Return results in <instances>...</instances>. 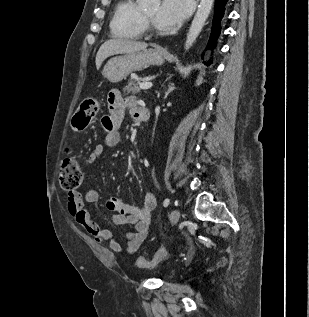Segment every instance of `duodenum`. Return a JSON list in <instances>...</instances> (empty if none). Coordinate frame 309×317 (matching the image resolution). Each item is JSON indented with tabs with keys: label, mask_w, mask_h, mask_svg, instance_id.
I'll return each instance as SVG.
<instances>
[{
	"label": "duodenum",
	"mask_w": 309,
	"mask_h": 317,
	"mask_svg": "<svg viewBox=\"0 0 309 317\" xmlns=\"http://www.w3.org/2000/svg\"><path fill=\"white\" fill-rule=\"evenodd\" d=\"M149 118V111L145 107H140L139 108V114H138V120L141 122L147 121Z\"/></svg>",
	"instance_id": "obj_1"
}]
</instances>
